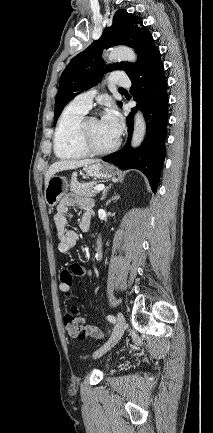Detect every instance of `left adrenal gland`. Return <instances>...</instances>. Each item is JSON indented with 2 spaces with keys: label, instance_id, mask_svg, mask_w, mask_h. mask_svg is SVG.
<instances>
[{
  "label": "left adrenal gland",
  "instance_id": "left-adrenal-gland-1",
  "mask_svg": "<svg viewBox=\"0 0 213 433\" xmlns=\"http://www.w3.org/2000/svg\"><path fill=\"white\" fill-rule=\"evenodd\" d=\"M109 188H110V187H107V188L103 191V194H102L101 200H104V199L106 198L107 191H108Z\"/></svg>",
  "mask_w": 213,
  "mask_h": 433
}]
</instances>
